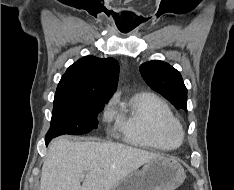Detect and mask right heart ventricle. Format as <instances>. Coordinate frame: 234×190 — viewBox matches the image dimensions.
<instances>
[{
    "label": "right heart ventricle",
    "mask_w": 234,
    "mask_h": 190,
    "mask_svg": "<svg viewBox=\"0 0 234 190\" xmlns=\"http://www.w3.org/2000/svg\"><path fill=\"white\" fill-rule=\"evenodd\" d=\"M115 126L125 142L145 148L171 150L179 142L171 136L178 125L168 104L154 93L133 96L114 110Z\"/></svg>",
    "instance_id": "right-heart-ventricle-1"
}]
</instances>
